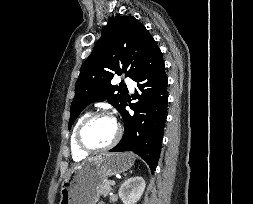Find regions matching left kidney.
<instances>
[{
  "instance_id": "left-kidney-1",
  "label": "left kidney",
  "mask_w": 253,
  "mask_h": 204,
  "mask_svg": "<svg viewBox=\"0 0 253 204\" xmlns=\"http://www.w3.org/2000/svg\"><path fill=\"white\" fill-rule=\"evenodd\" d=\"M145 186L146 184L142 177H131L119 188V197L124 204H135L140 200Z\"/></svg>"
}]
</instances>
